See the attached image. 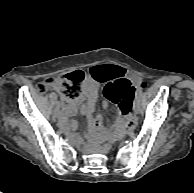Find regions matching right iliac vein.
Masks as SVG:
<instances>
[{
	"mask_svg": "<svg viewBox=\"0 0 194 193\" xmlns=\"http://www.w3.org/2000/svg\"><path fill=\"white\" fill-rule=\"evenodd\" d=\"M63 117H61L60 115L58 116V119L61 121V119H62Z\"/></svg>",
	"mask_w": 194,
	"mask_h": 193,
	"instance_id": "obj_1",
	"label": "right iliac vein"
}]
</instances>
